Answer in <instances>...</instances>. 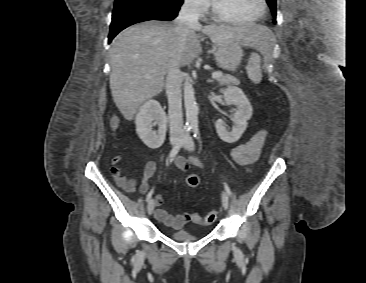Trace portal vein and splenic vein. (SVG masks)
<instances>
[{
    "instance_id": "18ae733b",
    "label": "portal vein and splenic vein",
    "mask_w": 366,
    "mask_h": 283,
    "mask_svg": "<svg viewBox=\"0 0 366 283\" xmlns=\"http://www.w3.org/2000/svg\"><path fill=\"white\" fill-rule=\"evenodd\" d=\"M221 76H222V73L221 72H214V73H212V78H214V79L220 78Z\"/></svg>"
}]
</instances>
